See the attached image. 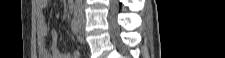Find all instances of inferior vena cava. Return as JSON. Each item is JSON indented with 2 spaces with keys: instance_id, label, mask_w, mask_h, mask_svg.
<instances>
[{
  "instance_id": "obj_1",
  "label": "inferior vena cava",
  "mask_w": 225,
  "mask_h": 58,
  "mask_svg": "<svg viewBox=\"0 0 225 58\" xmlns=\"http://www.w3.org/2000/svg\"><path fill=\"white\" fill-rule=\"evenodd\" d=\"M78 15L81 17V19H84V14H83L81 5L78 6Z\"/></svg>"
}]
</instances>
